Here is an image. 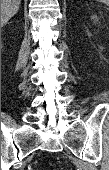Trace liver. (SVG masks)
Wrapping results in <instances>:
<instances>
[{"label":"liver","instance_id":"6515ba94","mask_svg":"<svg viewBox=\"0 0 109 170\" xmlns=\"http://www.w3.org/2000/svg\"><path fill=\"white\" fill-rule=\"evenodd\" d=\"M21 0H1V24L5 25L19 10Z\"/></svg>","mask_w":109,"mask_h":170}]
</instances>
